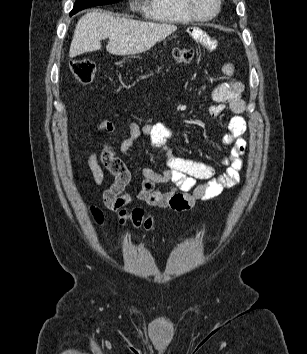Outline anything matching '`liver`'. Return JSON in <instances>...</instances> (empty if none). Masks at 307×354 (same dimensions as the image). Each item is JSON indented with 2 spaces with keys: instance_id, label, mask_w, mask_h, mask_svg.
<instances>
[{
  "instance_id": "liver-1",
  "label": "liver",
  "mask_w": 307,
  "mask_h": 354,
  "mask_svg": "<svg viewBox=\"0 0 307 354\" xmlns=\"http://www.w3.org/2000/svg\"><path fill=\"white\" fill-rule=\"evenodd\" d=\"M171 24L142 22L111 16L94 10L78 21L70 46L69 56L101 49V40L109 38L106 49L113 55H132L145 52L157 42L175 32Z\"/></svg>"
}]
</instances>
